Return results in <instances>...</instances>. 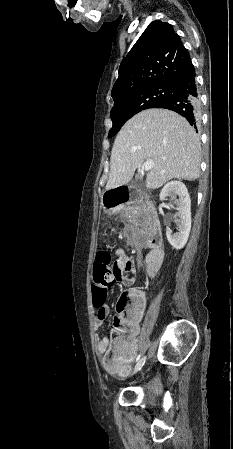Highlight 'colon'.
<instances>
[{
  "instance_id": "5ec220e1",
  "label": "colon",
  "mask_w": 233,
  "mask_h": 449,
  "mask_svg": "<svg viewBox=\"0 0 233 449\" xmlns=\"http://www.w3.org/2000/svg\"><path fill=\"white\" fill-rule=\"evenodd\" d=\"M111 269L110 253L107 250L99 251L93 264L92 304L96 310L103 308L107 300L111 284ZM143 304L144 295L136 289L124 292L119 298L118 315L113 319L112 330L115 351H125L130 338L138 331ZM119 364L121 361L111 355L104 357L103 365L108 369H114Z\"/></svg>"
}]
</instances>
